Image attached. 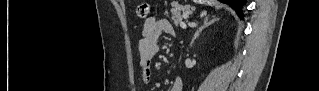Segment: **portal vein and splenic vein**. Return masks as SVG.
<instances>
[{
    "mask_svg": "<svg viewBox=\"0 0 319 91\" xmlns=\"http://www.w3.org/2000/svg\"><path fill=\"white\" fill-rule=\"evenodd\" d=\"M180 27L183 28V29H186V28H187V26H186V24H185L184 22H181V23H180Z\"/></svg>",
    "mask_w": 319,
    "mask_h": 91,
    "instance_id": "obj_1",
    "label": "portal vein and splenic vein"
}]
</instances>
